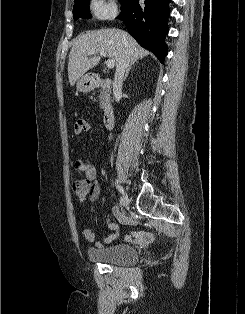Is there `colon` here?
<instances>
[{"label":"colon","instance_id":"5ec220e1","mask_svg":"<svg viewBox=\"0 0 245 314\" xmlns=\"http://www.w3.org/2000/svg\"><path fill=\"white\" fill-rule=\"evenodd\" d=\"M79 124L80 121H79ZM73 192L80 200H86L90 197L91 183L88 178L77 180L73 183Z\"/></svg>","mask_w":245,"mask_h":314}]
</instances>
